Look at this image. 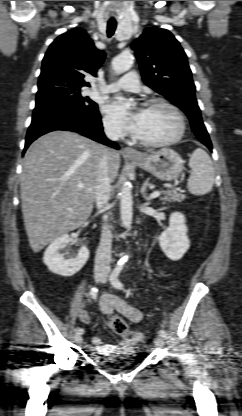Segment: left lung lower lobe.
Segmentation results:
<instances>
[{
    "instance_id": "1",
    "label": "left lung lower lobe",
    "mask_w": 242,
    "mask_h": 416,
    "mask_svg": "<svg viewBox=\"0 0 242 416\" xmlns=\"http://www.w3.org/2000/svg\"><path fill=\"white\" fill-rule=\"evenodd\" d=\"M204 145H206L208 148H209V150H211L212 151V144H211V141H210V139H205V140H203V141H201Z\"/></svg>"
}]
</instances>
